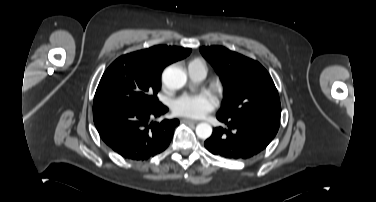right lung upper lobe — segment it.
Here are the masks:
<instances>
[{
    "instance_id": "obj_1",
    "label": "right lung upper lobe",
    "mask_w": 376,
    "mask_h": 202,
    "mask_svg": "<svg viewBox=\"0 0 376 202\" xmlns=\"http://www.w3.org/2000/svg\"><path fill=\"white\" fill-rule=\"evenodd\" d=\"M190 52L189 48L157 45L130 55L146 65L151 73L160 76L165 66L185 58Z\"/></svg>"
}]
</instances>
